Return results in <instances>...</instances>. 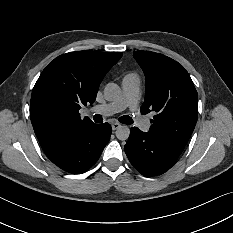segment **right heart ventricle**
Wrapping results in <instances>:
<instances>
[{
	"label": "right heart ventricle",
	"instance_id": "e07e8e85",
	"mask_svg": "<svg viewBox=\"0 0 233 233\" xmlns=\"http://www.w3.org/2000/svg\"><path fill=\"white\" fill-rule=\"evenodd\" d=\"M134 78H137V76L134 73H130L125 76V79H134Z\"/></svg>",
	"mask_w": 233,
	"mask_h": 233
}]
</instances>
